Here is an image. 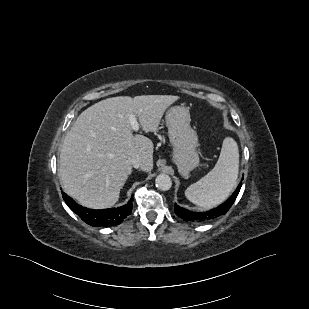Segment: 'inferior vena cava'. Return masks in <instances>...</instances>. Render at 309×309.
Instances as JSON below:
<instances>
[{
	"mask_svg": "<svg viewBox=\"0 0 309 309\" xmlns=\"http://www.w3.org/2000/svg\"><path fill=\"white\" fill-rule=\"evenodd\" d=\"M131 162V165L134 167V168H141L142 167V160L139 156H134L131 158L130 160Z\"/></svg>",
	"mask_w": 309,
	"mask_h": 309,
	"instance_id": "1",
	"label": "inferior vena cava"
}]
</instances>
